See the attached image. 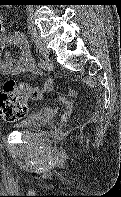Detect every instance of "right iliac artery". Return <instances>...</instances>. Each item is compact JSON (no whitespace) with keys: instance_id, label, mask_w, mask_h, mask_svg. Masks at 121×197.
I'll use <instances>...</instances> for the list:
<instances>
[{"instance_id":"right-iliac-artery-1","label":"right iliac artery","mask_w":121,"mask_h":197,"mask_svg":"<svg viewBox=\"0 0 121 197\" xmlns=\"http://www.w3.org/2000/svg\"><path fill=\"white\" fill-rule=\"evenodd\" d=\"M39 53H40V52H39ZM39 56H40V54H39ZM39 65H40L41 67H43V66L45 65V61H44L42 58L39 59Z\"/></svg>"}]
</instances>
